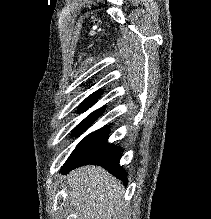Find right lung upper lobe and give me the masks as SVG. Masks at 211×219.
Here are the masks:
<instances>
[{"instance_id": "cb5924a9", "label": "right lung upper lobe", "mask_w": 211, "mask_h": 219, "mask_svg": "<svg viewBox=\"0 0 211 219\" xmlns=\"http://www.w3.org/2000/svg\"><path fill=\"white\" fill-rule=\"evenodd\" d=\"M101 96V90H98L91 94L89 97H87L86 101H97L98 98Z\"/></svg>"}]
</instances>
